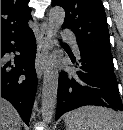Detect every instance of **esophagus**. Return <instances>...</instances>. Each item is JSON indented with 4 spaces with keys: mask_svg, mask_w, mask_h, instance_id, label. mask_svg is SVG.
<instances>
[{
    "mask_svg": "<svg viewBox=\"0 0 123 130\" xmlns=\"http://www.w3.org/2000/svg\"><path fill=\"white\" fill-rule=\"evenodd\" d=\"M50 41H51V30L50 26L45 21L41 24L40 27V37L35 61V68L39 78L42 76L43 71L45 69Z\"/></svg>",
    "mask_w": 123,
    "mask_h": 130,
    "instance_id": "1",
    "label": "esophagus"
}]
</instances>
